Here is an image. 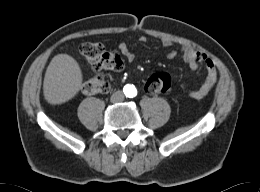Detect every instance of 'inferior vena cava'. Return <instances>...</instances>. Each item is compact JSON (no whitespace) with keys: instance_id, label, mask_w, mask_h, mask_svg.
Returning a JSON list of instances; mask_svg holds the SVG:
<instances>
[{"instance_id":"obj_1","label":"inferior vena cava","mask_w":260,"mask_h":192,"mask_svg":"<svg viewBox=\"0 0 260 192\" xmlns=\"http://www.w3.org/2000/svg\"><path fill=\"white\" fill-rule=\"evenodd\" d=\"M123 100H124V94L121 91H117L111 96V101L113 103L122 102Z\"/></svg>"}]
</instances>
